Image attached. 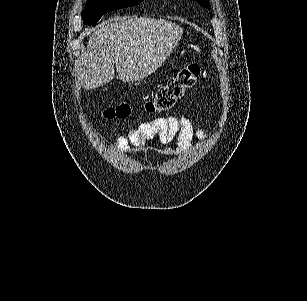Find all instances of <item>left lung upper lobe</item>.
<instances>
[{"instance_id": "1", "label": "left lung upper lobe", "mask_w": 307, "mask_h": 301, "mask_svg": "<svg viewBox=\"0 0 307 301\" xmlns=\"http://www.w3.org/2000/svg\"><path fill=\"white\" fill-rule=\"evenodd\" d=\"M198 3H200L202 6H205L206 8L210 9V4L208 0H196Z\"/></svg>"}]
</instances>
